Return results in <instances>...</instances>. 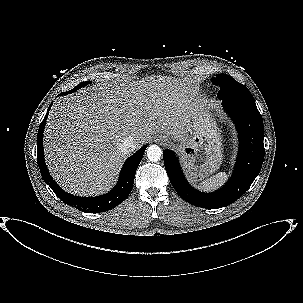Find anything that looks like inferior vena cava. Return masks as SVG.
I'll return each instance as SVG.
<instances>
[{
  "label": "inferior vena cava",
  "instance_id": "obj_1",
  "mask_svg": "<svg viewBox=\"0 0 303 303\" xmlns=\"http://www.w3.org/2000/svg\"><path fill=\"white\" fill-rule=\"evenodd\" d=\"M134 138L129 136L121 141L119 144V150L124 154H129L135 150Z\"/></svg>",
  "mask_w": 303,
  "mask_h": 303
}]
</instances>
